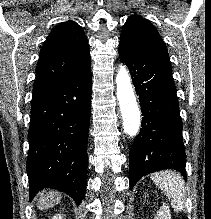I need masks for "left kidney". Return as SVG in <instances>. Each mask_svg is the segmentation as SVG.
I'll list each match as a JSON object with an SVG mask.
<instances>
[{
    "mask_svg": "<svg viewBox=\"0 0 211 219\" xmlns=\"http://www.w3.org/2000/svg\"><path fill=\"white\" fill-rule=\"evenodd\" d=\"M154 219H171V212L169 206L163 205L157 212Z\"/></svg>",
    "mask_w": 211,
    "mask_h": 219,
    "instance_id": "obj_1",
    "label": "left kidney"
}]
</instances>
